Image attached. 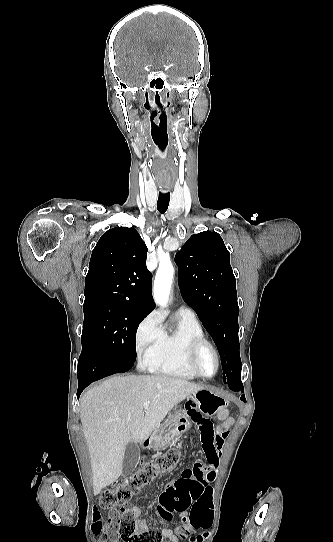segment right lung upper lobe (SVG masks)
<instances>
[{
  "mask_svg": "<svg viewBox=\"0 0 333 542\" xmlns=\"http://www.w3.org/2000/svg\"><path fill=\"white\" fill-rule=\"evenodd\" d=\"M147 247L134 228L106 231L93 249L83 307L116 305L150 313L155 308Z\"/></svg>",
  "mask_w": 333,
  "mask_h": 542,
  "instance_id": "obj_1",
  "label": "right lung upper lobe"
}]
</instances>
